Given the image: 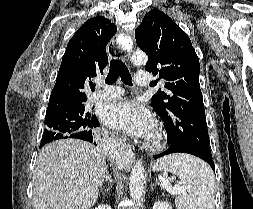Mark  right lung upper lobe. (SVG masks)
<instances>
[{
    "label": "right lung upper lobe",
    "instance_id": "right-lung-upper-lobe-1",
    "mask_svg": "<svg viewBox=\"0 0 253 209\" xmlns=\"http://www.w3.org/2000/svg\"><path fill=\"white\" fill-rule=\"evenodd\" d=\"M117 32L107 18L87 20L70 39L51 92L47 112L85 103L88 80L103 73L108 63L106 45Z\"/></svg>",
    "mask_w": 253,
    "mask_h": 209
}]
</instances>
